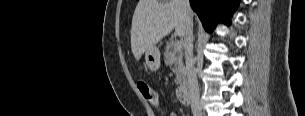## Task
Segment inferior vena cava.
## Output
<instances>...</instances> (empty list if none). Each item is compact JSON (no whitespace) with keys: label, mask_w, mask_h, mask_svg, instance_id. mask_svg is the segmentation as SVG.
Returning <instances> with one entry per match:
<instances>
[{"label":"inferior vena cava","mask_w":305,"mask_h":116,"mask_svg":"<svg viewBox=\"0 0 305 116\" xmlns=\"http://www.w3.org/2000/svg\"><path fill=\"white\" fill-rule=\"evenodd\" d=\"M183 9L186 19L185 34H184V49L186 59V70L188 78V86L190 92L191 109L193 116H201L200 93L197 80V74L194 67L193 58V22L189 16L191 11L189 0H182Z\"/></svg>","instance_id":"inferior-vena-cava-1"}]
</instances>
